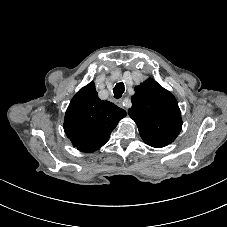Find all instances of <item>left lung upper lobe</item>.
Returning <instances> with one entry per match:
<instances>
[{"label": "left lung upper lobe", "mask_w": 227, "mask_h": 227, "mask_svg": "<svg viewBox=\"0 0 227 227\" xmlns=\"http://www.w3.org/2000/svg\"><path fill=\"white\" fill-rule=\"evenodd\" d=\"M128 112L140 133L167 144L176 139L182 128L181 112L175 97L152 78L135 87L132 107Z\"/></svg>", "instance_id": "1"}]
</instances>
